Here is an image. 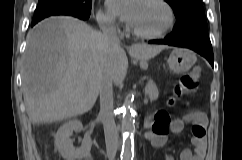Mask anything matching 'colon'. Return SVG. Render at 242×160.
Returning <instances> with one entry per match:
<instances>
[{
    "label": "colon",
    "mask_w": 242,
    "mask_h": 160,
    "mask_svg": "<svg viewBox=\"0 0 242 160\" xmlns=\"http://www.w3.org/2000/svg\"><path fill=\"white\" fill-rule=\"evenodd\" d=\"M200 77V70L195 68L193 71L183 75L176 83L173 89V97L170 99V103H174L176 98H179L185 94L194 92L198 87ZM170 122V117L167 112L159 111L154 119L152 129L158 133H164Z\"/></svg>",
    "instance_id": "1"
}]
</instances>
